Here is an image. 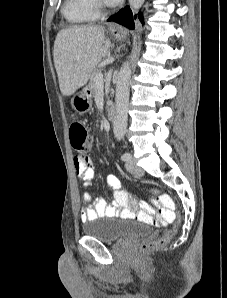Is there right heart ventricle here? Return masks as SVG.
Listing matches in <instances>:
<instances>
[{"label":"right heart ventricle","mask_w":227,"mask_h":298,"mask_svg":"<svg viewBox=\"0 0 227 298\" xmlns=\"http://www.w3.org/2000/svg\"><path fill=\"white\" fill-rule=\"evenodd\" d=\"M62 13L74 25L89 24L98 17L93 0H65Z\"/></svg>","instance_id":"obj_1"}]
</instances>
